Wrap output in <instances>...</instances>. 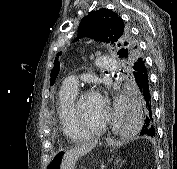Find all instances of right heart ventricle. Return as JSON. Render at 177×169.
<instances>
[{"instance_id": "e07e8e85", "label": "right heart ventricle", "mask_w": 177, "mask_h": 169, "mask_svg": "<svg viewBox=\"0 0 177 169\" xmlns=\"http://www.w3.org/2000/svg\"><path fill=\"white\" fill-rule=\"evenodd\" d=\"M77 94L78 91L67 90L62 87L58 97V119L62 133L69 141H80L86 138L79 135L74 126L72 105Z\"/></svg>"}]
</instances>
